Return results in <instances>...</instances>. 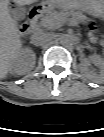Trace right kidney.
Returning a JSON list of instances; mask_svg holds the SVG:
<instances>
[{"label":"right kidney","mask_w":104,"mask_h":137,"mask_svg":"<svg viewBox=\"0 0 104 137\" xmlns=\"http://www.w3.org/2000/svg\"><path fill=\"white\" fill-rule=\"evenodd\" d=\"M35 53L31 49H22L13 60L11 68L19 75L32 69L35 64Z\"/></svg>","instance_id":"obj_1"}]
</instances>
